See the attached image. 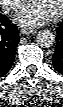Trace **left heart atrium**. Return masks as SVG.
I'll return each mask as SVG.
<instances>
[{"label": "left heart atrium", "instance_id": "39dd6f15", "mask_svg": "<svg viewBox=\"0 0 63 107\" xmlns=\"http://www.w3.org/2000/svg\"><path fill=\"white\" fill-rule=\"evenodd\" d=\"M52 15L36 3L25 6L17 15V20L24 26H37L47 22Z\"/></svg>", "mask_w": 63, "mask_h": 107}]
</instances>
